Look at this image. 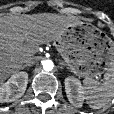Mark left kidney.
Here are the masks:
<instances>
[{"label":"left kidney","instance_id":"left-kidney-1","mask_svg":"<svg viewBox=\"0 0 114 114\" xmlns=\"http://www.w3.org/2000/svg\"><path fill=\"white\" fill-rule=\"evenodd\" d=\"M65 91L69 102L75 107H82L84 97V90L80 81L74 77H67L65 79Z\"/></svg>","mask_w":114,"mask_h":114}]
</instances>
